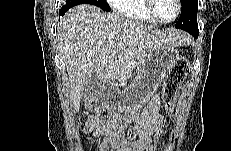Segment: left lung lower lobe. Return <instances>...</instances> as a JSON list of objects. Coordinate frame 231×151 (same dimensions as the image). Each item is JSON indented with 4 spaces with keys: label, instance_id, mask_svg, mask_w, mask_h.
<instances>
[{
    "label": "left lung lower lobe",
    "instance_id": "1",
    "mask_svg": "<svg viewBox=\"0 0 231 151\" xmlns=\"http://www.w3.org/2000/svg\"><path fill=\"white\" fill-rule=\"evenodd\" d=\"M195 39L198 38L199 30H192L189 32Z\"/></svg>",
    "mask_w": 231,
    "mask_h": 151
}]
</instances>
